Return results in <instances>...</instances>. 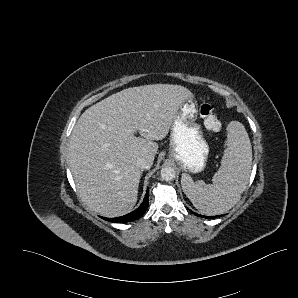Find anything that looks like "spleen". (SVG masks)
Wrapping results in <instances>:
<instances>
[{"label": "spleen", "instance_id": "obj_1", "mask_svg": "<svg viewBox=\"0 0 298 298\" xmlns=\"http://www.w3.org/2000/svg\"><path fill=\"white\" fill-rule=\"evenodd\" d=\"M227 144L222 166L212 178V184L194 183L182 175V188L194 207L206 215L224 214L235 206L250 179L252 146L245 126L238 121L228 125Z\"/></svg>", "mask_w": 298, "mask_h": 298}]
</instances>
